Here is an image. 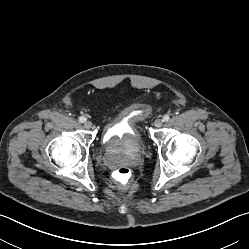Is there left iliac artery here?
Instances as JSON below:
<instances>
[{"label":"left iliac artery","mask_w":249,"mask_h":249,"mask_svg":"<svg viewBox=\"0 0 249 249\" xmlns=\"http://www.w3.org/2000/svg\"><path fill=\"white\" fill-rule=\"evenodd\" d=\"M169 119H170L169 115L166 114L163 116V121L167 122V121H169Z\"/></svg>","instance_id":"1"}]
</instances>
